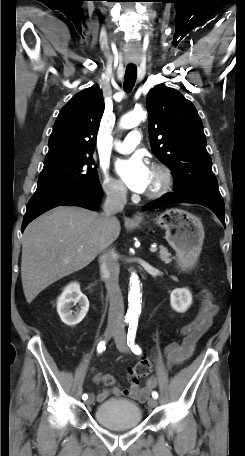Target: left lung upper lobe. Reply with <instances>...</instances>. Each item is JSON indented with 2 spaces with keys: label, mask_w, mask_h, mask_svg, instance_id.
Instances as JSON below:
<instances>
[{
  "label": "left lung upper lobe",
  "mask_w": 245,
  "mask_h": 456,
  "mask_svg": "<svg viewBox=\"0 0 245 456\" xmlns=\"http://www.w3.org/2000/svg\"><path fill=\"white\" fill-rule=\"evenodd\" d=\"M146 105L152 151L172 170L174 192L221 197L194 105L163 84L149 91Z\"/></svg>",
  "instance_id": "5c2ea615"
}]
</instances>
